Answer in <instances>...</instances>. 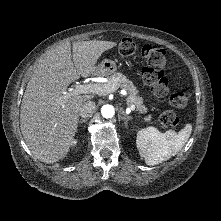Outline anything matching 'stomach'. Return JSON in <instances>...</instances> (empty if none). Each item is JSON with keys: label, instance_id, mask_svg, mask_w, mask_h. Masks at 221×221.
Instances as JSON below:
<instances>
[{"label": "stomach", "instance_id": "stomach-1", "mask_svg": "<svg viewBox=\"0 0 221 221\" xmlns=\"http://www.w3.org/2000/svg\"><path fill=\"white\" fill-rule=\"evenodd\" d=\"M116 71V62L109 59H105L96 67L95 73L99 76H108L114 74Z\"/></svg>", "mask_w": 221, "mask_h": 221}]
</instances>
